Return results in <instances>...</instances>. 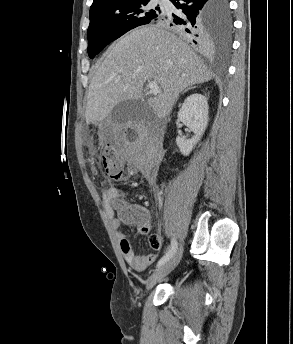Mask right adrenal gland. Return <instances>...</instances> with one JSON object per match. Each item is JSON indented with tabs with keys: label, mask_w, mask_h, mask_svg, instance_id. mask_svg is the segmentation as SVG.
Returning <instances> with one entry per match:
<instances>
[{
	"label": "right adrenal gland",
	"mask_w": 293,
	"mask_h": 344,
	"mask_svg": "<svg viewBox=\"0 0 293 344\" xmlns=\"http://www.w3.org/2000/svg\"><path fill=\"white\" fill-rule=\"evenodd\" d=\"M194 88H196V86L187 88V89H185V90L182 92V94H184V93H186L187 91H189V90H191V89H194Z\"/></svg>",
	"instance_id": "right-adrenal-gland-1"
}]
</instances>
